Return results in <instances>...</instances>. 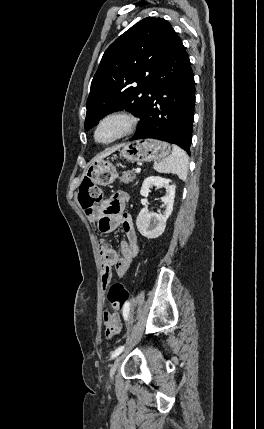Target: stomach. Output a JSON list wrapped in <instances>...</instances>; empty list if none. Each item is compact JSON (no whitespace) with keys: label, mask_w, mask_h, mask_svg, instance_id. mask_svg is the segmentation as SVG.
Wrapping results in <instances>:
<instances>
[{"label":"stomach","mask_w":264,"mask_h":429,"mask_svg":"<svg viewBox=\"0 0 264 429\" xmlns=\"http://www.w3.org/2000/svg\"><path fill=\"white\" fill-rule=\"evenodd\" d=\"M170 153V145L156 139H144L128 142L122 145L121 156L129 161L149 162L159 161ZM85 177L95 184L108 185L117 178L114 165L108 160L93 161L85 172Z\"/></svg>","instance_id":"0dacf381"}]
</instances>
